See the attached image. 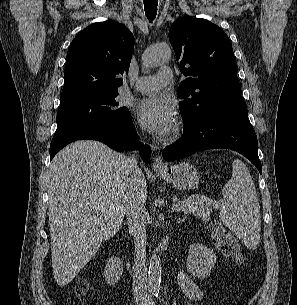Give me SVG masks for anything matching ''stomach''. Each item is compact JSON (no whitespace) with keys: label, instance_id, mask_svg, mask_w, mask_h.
I'll list each match as a JSON object with an SVG mask.
<instances>
[{"label":"stomach","instance_id":"0dacf381","mask_svg":"<svg viewBox=\"0 0 297 305\" xmlns=\"http://www.w3.org/2000/svg\"><path fill=\"white\" fill-rule=\"evenodd\" d=\"M157 175L165 182L178 190H190L198 186L199 174L190 163H179L156 171Z\"/></svg>","mask_w":297,"mask_h":305}]
</instances>
